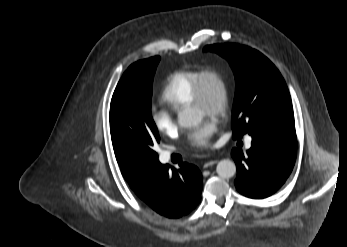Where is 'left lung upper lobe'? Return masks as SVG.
Returning a JSON list of instances; mask_svg holds the SVG:
<instances>
[{
	"mask_svg": "<svg viewBox=\"0 0 347 247\" xmlns=\"http://www.w3.org/2000/svg\"><path fill=\"white\" fill-rule=\"evenodd\" d=\"M226 58L234 72L233 138L270 129L295 132L294 113L286 83L272 62L257 50L238 44L204 48Z\"/></svg>",
	"mask_w": 347,
	"mask_h": 247,
	"instance_id": "obj_1",
	"label": "left lung upper lobe"
}]
</instances>
